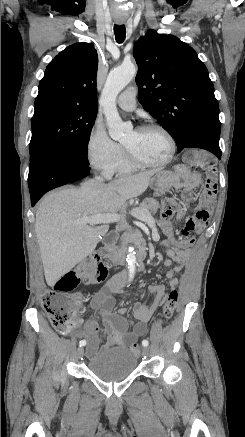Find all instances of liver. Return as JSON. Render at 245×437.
<instances>
[{"instance_id": "obj_1", "label": "liver", "mask_w": 245, "mask_h": 437, "mask_svg": "<svg viewBox=\"0 0 245 437\" xmlns=\"http://www.w3.org/2000/svg\"><path fill=\"white\" fill-rule=\"evenodd\" d=\"M156 172L149 170L108 184L88 180L79 188H64L44 197L36 212L35 233L49 286L90 255L107 232L108 222L94 228L76 220L118 212L126 200L146 191Z\"/></svg>"}]
</instances>
